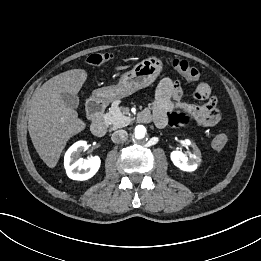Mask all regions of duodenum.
Here are the masks:
<instances>
[{"mask_svg": "<svg viewBox=\"0 0 261 261\" xmlns=\"http://www.w3.org/2000/svg\"><path fill=\"white\" fill-rule=\"evenodd\" d=\"M105 101L102 98H94L87 105V114L91 120V131L96 137H103L106 134L107 126L103 118ZM148 114L144 111L140 113L139 119L145 121Z\"/></svg>", "mask_w": 261, "mask_h": 261, "instance_id": "duodenum-1", "label": "duodenum"}]
</instances>
